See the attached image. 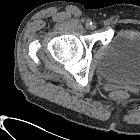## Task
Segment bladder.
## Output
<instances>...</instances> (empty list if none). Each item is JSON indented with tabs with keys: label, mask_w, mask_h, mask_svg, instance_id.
Here are the masks:
<instances>
[{
	"label": "bladder",
	"mask_w": 140,
	"mask_h": 140,
	"mask_svg": "<svg viewBox=\"0 0 140 140\" xmlns=\"http://www.w3.org/2000/svg\"><path fill=\"white\" fill-rule=\"evenodd\" d=\"M97 71L108 81L140 85V27L125 26L113 34L104 47Z\"/></svg>",
	"instance_id": "bladder-1"
}]
</instances>
